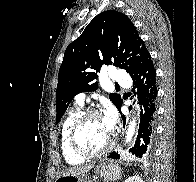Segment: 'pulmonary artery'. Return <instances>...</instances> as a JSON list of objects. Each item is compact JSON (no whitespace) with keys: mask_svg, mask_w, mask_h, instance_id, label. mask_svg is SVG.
<instances>
[{"mask_svg":"<svg viewBox=\"0 0 196 182\" xmlns=\"http://www.w3.org/2000/svg\"><path fill=\"white\" fill-rule=\"evenodd\" d=\"M112 81L116 84L123 85V86H129L130 85V78L129 75L120 70H115L112 72ZM76 101L79 104H83L86 101V97L84 94H78L76 96Z\"/></svg>","mask_w":196,"mask_h":182,"instance_id":"pulmonary-artery-1","label":"pulmonary artery"}]
</instances>
